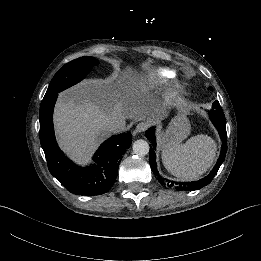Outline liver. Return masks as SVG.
<instances>
[{"label":"liver","mask_w":261,"mask_h":261,"mask_svg":"<svg viewBox=\"0 0 261 261\" xmlns=\"http://www.w3.org/2000/svg\"><path fill=\"white\" fill-rule=\"evenodd\" d=\"M163 101L131 70L115 71L105 79H85L59 94L54 125L62 150L86 165L101 142L111 135L107 126L117 118L159 121Z\"/></svg>","instance_id":"liver-1"}]
</instances>
